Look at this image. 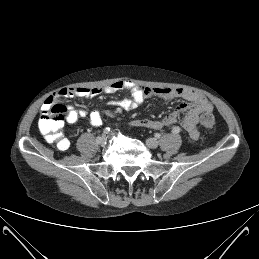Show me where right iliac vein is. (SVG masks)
I'll return each instance as SVG.
<instances>
[{
  "label": "right iliac vein",
  "mask_w": 259,
  "mask_h": 259,
  "mask_svg": "<svg viewBox=\"0 0 259 259\" xmlns=\"http://www.w3.org/2000/svg\"><path fill=\"white\" fill-rule=\"evenodd\" d=\"M100 138H101L100 141H98L97 143L100 144L101 146H105L106 143H107L106 137L105 136H101Z\"/></svg>",
  "instance_id": "1"
}]
</instances>
